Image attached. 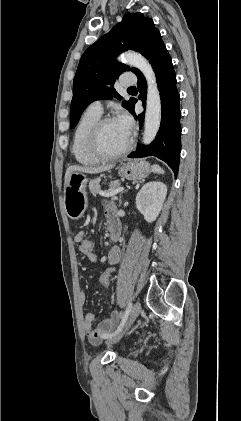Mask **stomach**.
I'll use <instances>...</instances> for the list:
<instances>
[{
  "label": "stomach",
  "mask_w": 241,
  "mask_h": 421,
  "mask_svg": "<svg viewBox=\"0 0 241 421\" xmlns=\"http://www.w3.org/2000/svg\"><path fill=\"white\" fill-rule=\"evenodd\" d=\"M119 175L127 180H142L151 172L150 164L144 160H134L119 166ZM87 178L81 172H73L64 189V208L70 219L78 220L88 205L86 193Z\"/></svg>",
  "instance_id": "1"
}]
</instances>
